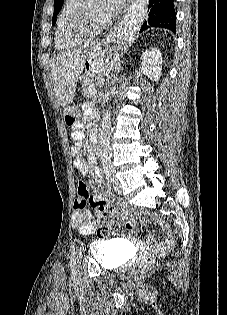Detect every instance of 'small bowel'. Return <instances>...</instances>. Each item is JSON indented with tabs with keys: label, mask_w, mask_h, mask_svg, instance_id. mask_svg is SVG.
I'll list each match as a JSON object with an SVG mask.
<instances>
[{
	"label": "small bowel",
	"mask_w": 227,
	"mask_h": 315,
	"mask_svg": "<svg viewBox=\"0 0 227 315\" xmlns=\"http://www.w3.org/2000/svg\"><path fill=\"white\" fill-rule=\"evenodd\" d=\"M74 145L71 149L72 156L74 158V167L79 170L85 177L88 178L89 182L96 187L103 185V178L101 170L95 164V154L92 147L88 150L87 159L83 156L84 149V132L82 125L78 124L73 128L71 134ZM108 201V217L113 219H124L129 213V209L125 203L114 204L111 195ZM98 222L94 219L93 212L89 209H85L81 212H75L72 217L73 227L82 234H92L97 226ZM161 230L164 233V238L158 242H153L152 248L156 251L167 249L173 243V236L166 223H160Z\"/></svg>",
	"instance_id": "1"
}]
</instances>
